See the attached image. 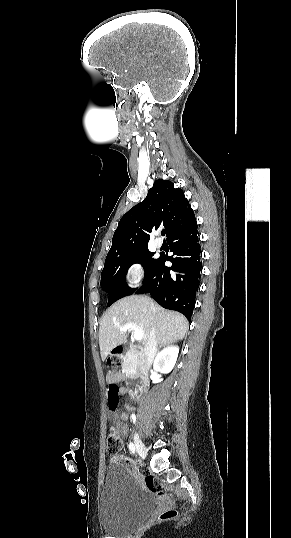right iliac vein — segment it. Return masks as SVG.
Instances as JSON below:
<instances>
[{"label": "right iliac vein", "mask_w": 291, "mask_h": 538, "mask_svg": "<svg viewBox=\"0 0 291 538\" xmlns=\"http://www.w3.org/2000/svg\"><path fill=\"white\" fill-rule=\"evenodd\" d=\"M134 444H135V448H136L137 453L142 458H145L146 455H147V449H146L145 445L143 444V442L141 441V439L139 438L137 433L134 434Z\"/></svg>", "instance_id": "63e3f726"}]
</instances>
